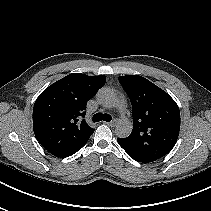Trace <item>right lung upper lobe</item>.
<instances>
[{
    "mask_svg": "<svg viewBox=\"0 0 211 211\" xmlns=\"http://www.w3.org/2000/svg\"><path fill=\"white\" fill-rule=\"evenodd\" d=\"M105 81L104 75L72 73L38 96L33 109V130L48 152L56 157H68L86 144L94 132L82 119L86 103Z\"/></svg>",
    "mask_w": 211,
    "mask_h": 211,
    "instance_id": "cb5924a9",
    "label": "right lung upper lobe"
}]
</instances>
